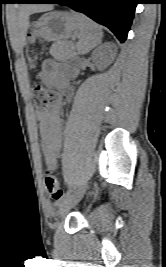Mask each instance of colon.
Masks as SVG:
<instances>
[{
	"mask_svg": "<svg viewBox=\"0 0 166 267\" xmlns=\"http://www.w3.org/2000/svg\"><path fill=\"white\" fill-rule=\"evenodd\" d=\"M32 95L34 103L37 109L46 110L53 106L57 100L58 95L53 89L45 87L41 83H34L32 86ZM45 189L53 200H59L62 196V189L59 185L56 176L50 172L46 171L44 177Z\"/></svg>",
	"mask_w": 166,
	"mask_h": 267,
	"instance_id": "5ec220e1",
	"label": "colon"
}]
</instances>
